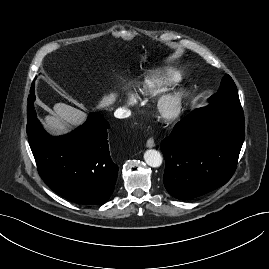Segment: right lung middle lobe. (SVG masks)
<instances>
[{
    "label": "right lung middle lobe",
    "instance_id": "right-lung-middle-lobe-1",
    "mask_svg": "<svg viewBox=\"0 0 269 269\" xmlns=\"http://www.w3.org/2000/svg\"><path fill=\"white\" fill-rule=\"evenodd\" d=\"M31 94L29 96V105H30V108H31V112L33 114V117H35V111H34V107H33V102L35 101V95H34V85L32 86L31 88Z\"/></svg>",
    "mask_w": 269,
    "mask_h": 269
}]
</instances>
